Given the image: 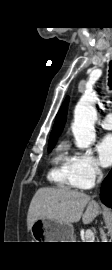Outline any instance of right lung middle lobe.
I'll use <instances>...</instances> for the list:
<instances>
[{
  "label": "right lung middle lobe",
  "mask_w": 112,
  "mask_h": 270,
  "mask_svg": "<svg viewBox=\"0 0 112 270\" xmlns=\"http://www.w3.org/2000/svg\"><path fill=\"white\" fill-rule=\"evenodd\" d=\"M55 144H56V142H50L48 144V151H51L54 148Z\"/></svg>",
  "instance_id": "obj_1"
}]
</instances>
